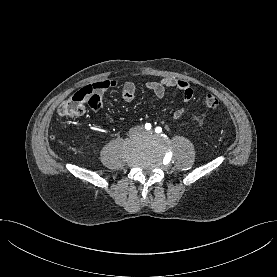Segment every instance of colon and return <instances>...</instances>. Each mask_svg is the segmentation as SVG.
<instances>
[{"instance_id":"1","label":"colon","mask_w":277,"mask_h":277,"mask_svg":"<svg viewBox=\"0 0 277 277\" xmlns=\"http://www.w3.org/2000/svg\"><path fill=\"white\" fill-rule=\"evenodd\" d=\"M95 100V97L92 96L86 90H80L76 92L73 96L65 100L59 107L58 113L64 117H78L81 116L86 109V104H91L92 101ZM205 105L214 109L218 106L219 100L218 98L212 94L208 93L204 97Z\"/></svg>"}]
</instances>
